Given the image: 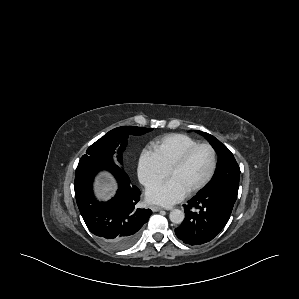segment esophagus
Masks as SVG:
<instances>
[{
    "instance_id": "1",
    "label": "esophagus",
    "mask_w": 299,
    "mask_h": 299,
    "mask_svg": "<svg viewBox=\"0 0 299 299\" xmlns=\"http://www.w3.org/2000/svg\"><path fill=\"white\" fill-rule=\"evenodd\" d=\"M163 208L162 207H160V206H151V210L153 211V212H157V211H160V210H162Z\"/></svg>"
}]
</instances>
